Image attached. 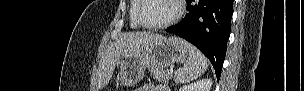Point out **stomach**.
<instances>
[{
  "mask_svg": "<svg viewBox=\"0 0 304 91\" xmlns=\"http://www.w3.org/2000/svg\"><path fill=\"white\" fill-rule=\"evenodd\" d=\"M188 57V50L183 40L177 37H153L136 51L125 53L118 62L119 80L124 86L136 85L144 76L146 68L170 66L183 63Z\"/></svg>",
  "mask_w": 304,
  "mask_h": 91,
  "instance_id": "1",
  "label": "stomach"
}]
</instances>
